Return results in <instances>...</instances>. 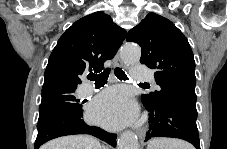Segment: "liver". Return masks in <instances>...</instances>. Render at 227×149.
<instances>
[{
  "instance_id": "liver-1",
  "label": "liver",
  "mask_w": 227,
  "mask_h": 149,
  "mask_svg": "<svg viewBox=\"0 0 227 149\" xmlns=\"http://www.w3.org/2000/svg\"><path fill=\"white\" fill-rule=\"evenodd\" d=\"M41 149H102L99 141L88 135H70L49 141Z\"/></svg>"
}]
</instances>
